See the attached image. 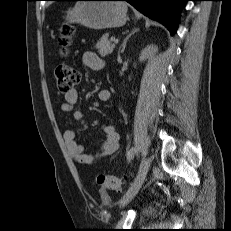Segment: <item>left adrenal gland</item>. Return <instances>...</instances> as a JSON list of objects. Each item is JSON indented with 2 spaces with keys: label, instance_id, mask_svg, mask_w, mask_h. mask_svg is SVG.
I'll list each match as a JSON object with an SVG mask.
<instances>
[{
  "label": "left adrenal gland",
  "instance_id": "a2214340",
  "mask_svg": "<svg viewBox=\"0 0 231 231\" xmlns=\"http://www.w3.org/2000/svg\"><path fill=\"white\" fill-rule=\"evenodd\" d=\"M139 31V29H133L130 33H128V35L125 37V39H124V41H123V43H122V48H121V51H120V53H123L124 52V50H125V48H126V44H127V41L129 40V38L132 36V35H134V33H136V32H138Z\"/></svg>",
  "mask_w": 231,
  "mask_h": 231
}]
</instances>
